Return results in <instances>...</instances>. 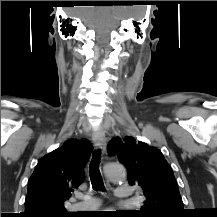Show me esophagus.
I'll use <instances>...</instances> for the list:
<instances>
[{
	"label": "esophagus",
	"instance_id": "1",
	"mask_svg": "<svg viewBox=\"0 0 217 217\" xmlns=\"http://www.w3.org/2000/svg\"><path fill=\"white\" fill-rule=\"evenodd\" d=\"M92 140L95 144V146L102 151V153L105 152L106 148V139H105V133L102 129H98L93 132L92 134Z\"/></svg>",
	"mask_w": 217,
	"mask_h": 217
}]
</instances>
